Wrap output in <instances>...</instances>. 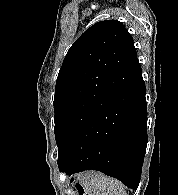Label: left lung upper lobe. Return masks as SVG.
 <instances>
[{
	"label": "left lung upper lobe",
	"instance_id": "obj_1",
	"mask_svg": "<svg viewBox=\"0 0 178 195\" xmlns=\"http://www.w3.org/2000/svg\"><path fill=\"white\" fill-rule=\"evenodd\" d=\"M140 70L133 38L117 20L95 23L73 43L55 87L58 157L90 118Z\"/></svg>",
	"mask_w": 178,
	"mask_h": 195
}]
</instances>
